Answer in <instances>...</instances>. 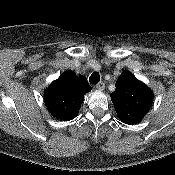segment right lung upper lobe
Listing matches in <instances>:
<instances>
[{"instance_id":"obj_1","label":"right lung upper lobe","mask_w":175,"mask_h":175,"mask_svg":"<svg viewBox=\"0 0 175 175\" xmlns=\"http://www.w3.org/2000/svg\"><path fill=\"white\" fill-rule=\"evenodd\" d=\"M90 90L91 87L84 76L67 71L45 90L44 101L53 117L69 121L77 116L84 95Z\"/></svg>"}]
</instances>
